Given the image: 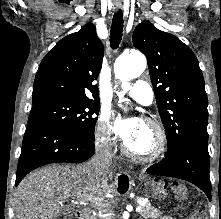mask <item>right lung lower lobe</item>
I'll return each mask as SVG.
<instances>
[{
    "label": "right lung lower lobe",
    "mask_w": 221,
    "mask_h": 219,
    "mask_svg": "<svg viewBox=\"0 0 221 219\" xmlns=\"http://www.w3.org/2000/svg\"><path fill=\"white\" fill-rule=\"evenodd\" d=\"M94 140L79 137L54 125L28 122L18 162L15 185L30 171L56 162L81 163L93 156Z\"/></svg>",
    "instance_id": "right-lung-lower-lobe-1"
}]
</instances>
